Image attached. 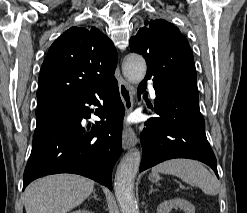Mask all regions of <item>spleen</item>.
Wrapping results in <instances>:
<instances>
[{"mask_svg": "<svg viewBox=\"0 0 247 213\" xmlns=\"http://www.w3.org/2000/svg\"><path fill=\"white\" fill-rule=\"evenodd\" d=\"M172 174L184 182L201 188L207 195H216L220 184L201 163L189 159H172L158 164L152 168V174Z\"/></svg>", "mask_w": 247, "mask_h": 213, "instance_id": "obj_1", "label": "spleen"}]
</instances>
